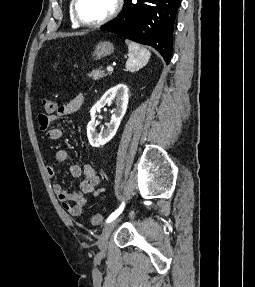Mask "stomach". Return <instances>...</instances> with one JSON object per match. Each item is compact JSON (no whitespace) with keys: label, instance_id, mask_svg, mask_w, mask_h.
I'll use <instances>...</instances> for the list:
<instances>
[{"label":"stomach","instance_id":"obj_1","mask_svg":"<svg viewBox=\"0 0 255 287\" xmlns=\"http://www.w3.org/2000/svg\"><path fill=\"white\" fill-rule=\"evenodd\" d=\"M113 50L114 46L111 42H99L96 44L93 54L96 58H105V56H110Z\"/></svg>","mask_w":255,"mask_h":287}]
</instances>
